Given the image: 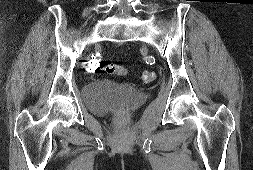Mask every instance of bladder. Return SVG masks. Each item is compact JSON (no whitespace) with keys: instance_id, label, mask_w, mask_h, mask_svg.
Masks as SVG:
<instances>
[{"instance_id":"obj_1","label":"bladder","mask_w":253,"mask_h":170,"mask_svg":"<svg viewBox=\"0 0 253 170\" xmlns=\"http://www.w3.org/2000/svg\"><path fill=\"white\" fill-rule=\"evenodd\" d=\"M83 97L88 108L98 115H104L118 105L134 110L149 98L141 89L121 87L108 80L88 83L84 88Z\"/></svg>"}]
</instances>
